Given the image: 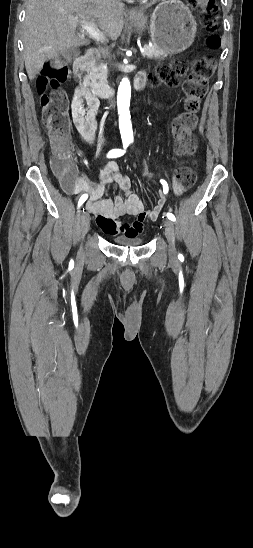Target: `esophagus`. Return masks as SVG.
Wrapping results in <instances>:
<instances>
[{"label":"esophagus","mask_w":253,"mask_h":548,"mask_svg":"<svg viewBox=\"0 0 253 548\" xmlns=\"http://www.w3.org/2000/svg\"><path fill=\"white\" fill-rule=\"evenodd\" d=\"M130 16H132V17H136V16H138V12H137V10H135V9H132V10L130 11Z\"/></svg>","instance_id":"1"}]
</instances>
